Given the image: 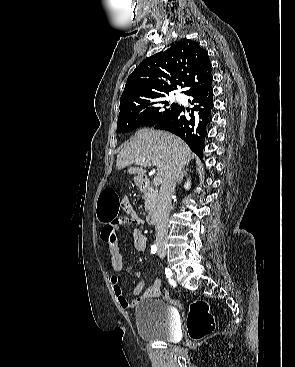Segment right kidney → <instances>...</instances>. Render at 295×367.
I'll list each match as a JSON object with an SVG mask.
<instances>
[{
  "instance_id": "obj_1",
  "label": "right kidney",
  "mask_w": 295,
  "mask_h": 367,
  "mask_svg": "<svg viewBox=\"0 0 295 367\" xmlns=\"http://www.w3.org/2000/svg\"><path fill=\"white\" fill-rule=\"evenodd\" d=\"M190 186H191V181L188 179L187 182L184 184V188L186 190H189L190 189Z\"/></svg>"
}]
</instances>
